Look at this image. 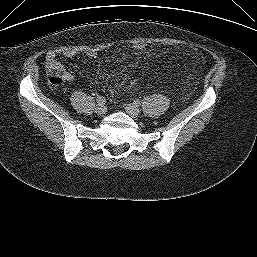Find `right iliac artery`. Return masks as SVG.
Returning <instances> with one entry per match:
<instances>
[{
  "mask_svg": "<svg viewBox=\"0 0 257 257\" xmlns=\"http://www.w3.org/2000/svg\"><path fill=\"white\" fill-rule=\"evenodd\" d=\"M96 100L99 104H104L106 102V99L102 96H98Z\"/></svg>",
  "mask_w": 257,
  "mask_h": 257,
  "instance_id": "obj_1",
  "label": "right iliac artery"
}]
</instances>
